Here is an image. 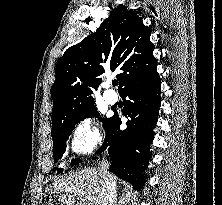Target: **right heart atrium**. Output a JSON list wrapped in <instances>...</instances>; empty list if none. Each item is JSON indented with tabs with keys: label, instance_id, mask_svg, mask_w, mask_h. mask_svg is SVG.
<instances>
[{
	"label": "right heart atrium",
	"instance_id": "d8ad5b80",
	"mask_svg": "<svg viewBox=\"0 0 222 205\" xmlns=\"http://www.w3.org/2000/svg\"><path fill=\"white\" fill-rule=\"evenodd\" d=\"M102 140L103 135L97 123L90 118H84L75 126L70 145L75 152L90 153L102 143Z\"/></svg>",
	"mask_w": 222,
	"mask_h": 205
}]
</instances>
